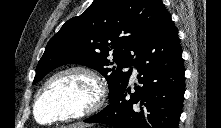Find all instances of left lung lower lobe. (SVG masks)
<instances>
[{
	"instance_id": "1",
	"label": "left lung lower lobe",
	"mask_w": 221,
	"mask_h": 128,
	"mask_svg": "<svg viewBox=\"0 0 221 128\" xmlns=\"http://www.w3.org/2000/svg\"><path fill=\"white\" fill-rule=\"evenodd\" d=\"M132 64L142 86L135 84V92L131 93L127 84L106 108L84 122L116 128H178L185 71L178 31L170 14L142 44ZM128 94L130 99L126 98Z\"/></svg>"
}]
</instances>
